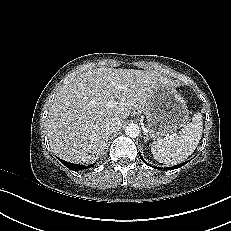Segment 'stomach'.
Instances as JSON below:
<instances>
[{"mask_svg":"<svg viewBox=\"0 0 231 231\" xmlns=\"http://www.w3.org/2000/svg\"><path fill=\"white\" fill-rule=\"evenodd\" d=\"M144 113L147 118L146 136L161 138L184 127L189 111L183 97L174 87L159 85L148 98Z\"/></svg>","mask_w":231,"mask_h":231,"instance_id":"1","label":"stomach"}]
</instances>
